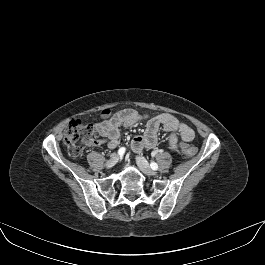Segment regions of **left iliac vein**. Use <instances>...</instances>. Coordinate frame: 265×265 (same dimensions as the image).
Wrapping results in <instances>:
<instances>
[{
  "label": "left iliac vein",
  "mask_w": 265,
  "mask_h": 265,
  "mask_svg": "<svg viewBox=\"0 0 265 265\" xmlns=\"http://www.w3.org/2000/svg\"><path fill=\"white\" fill-rule=\"evenodd\" d=\"M136 162H137L140 170L144 174L149 175V176H155L156 175V172L150 168L148 161L144 157L138 156L136 158Z\"/></svg>",
  "instance_id": "obj_1"
}]
</instances>
